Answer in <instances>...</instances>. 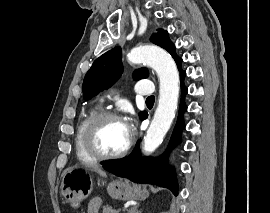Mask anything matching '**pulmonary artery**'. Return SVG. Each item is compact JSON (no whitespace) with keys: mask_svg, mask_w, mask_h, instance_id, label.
Instances as JSON below:
<instances>
[{"mask_svg":"<svg viewBox=\"0 0 270 213\" xmlns=\"http://www.w3.org/2000/svg\"><path fill=\"white\" fill-rule=\"evenodd\" d=\"M135 91L139 95L151 96L154 91V86L150 81H139L135 84Z\"/></svg>","mask_w":270,"mask_h":213,"instance_id":"pulmonary-artery-1","label":"pulmonary artery"}]
</instances>
